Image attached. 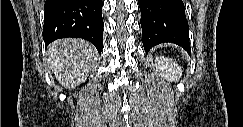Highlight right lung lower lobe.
Segmentation results:
<instances>
[{
	"label": "right lung lower lobe",
	"instance_id": "right-lung-lower-lobe-1",
	"mask_svg": "<svg viewBox=\"0 0 243 127\" xmlns=\"http://www.w3.org/2000/svg\"><path fill=\"white\" fill-rule=\"evenodd\" d=\"M43 39L47 46L65 38L90 41L101 54L103 46L102 0H46Z\"/></svg>",
	"mask_w": 243,
	"mask_h": 127
}]
</instances>
